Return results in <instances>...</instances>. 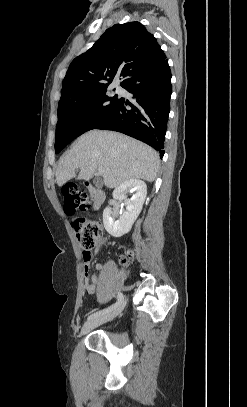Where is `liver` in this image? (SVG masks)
<instances>
[{"label": "liver", "mask_w": 247, "mask_h": 407, "mask_svg": "<svg viewBox=\"0 0 247 407\" xmlns=\"http://www.w3.org/2000/svg\"><path fill=\"white\" fill-rule=\"evenodd\" d=\"M160 160L150 146L112 131L92 130L80 136L64 155L56 170L58 186L75 178L90 180L97 169H102L104 184L115 188L126 180L143 179L153 182Z\"/></svg>", "instance_id": "1"}]
</instances>
